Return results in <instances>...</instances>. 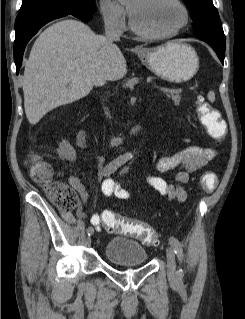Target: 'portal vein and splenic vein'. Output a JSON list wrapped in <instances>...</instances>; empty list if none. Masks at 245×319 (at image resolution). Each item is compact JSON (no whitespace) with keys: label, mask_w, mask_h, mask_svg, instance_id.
<instances>
[{"label":"portal vein and splenic vein","mask_w":245,"mask_h":319,"mask_svg":"<svg viewBox=\"0 0 245 319\" xmlns=\"http://www.w3.org/2000/svg\"><path fill=\"white\" fill-rule=\"evenodd\" d=\"M173 89H170L169 87H158V91L160 92H170Z\"/></svg>","instance_id":"portal-vein-and-splenic-vein-1"}]
</instances>
